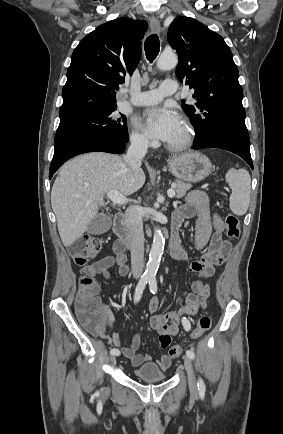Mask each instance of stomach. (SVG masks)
Segmentation results:
<instances>
[{"instance_id": "stomach-1", "label": "stomach", "mask_w": 283, "mask_h": 434, "mask_svg": "<svg viewBox=\"0 0 283 434\" xmlns=\"http://www.w3.org/2000/svg\"><path fill=\"white\" fill-rule=\"evenodd\" d=\"M171 173L179 180L196 183L205 179L212 171L209 158L199 152H187L168 160Z\"/></svg>"}]
</instances>
